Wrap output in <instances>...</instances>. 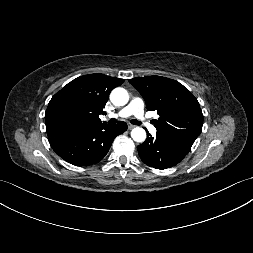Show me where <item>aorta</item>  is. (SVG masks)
I'll return each mask as SVG.
<instances>
[{
	"label": "aorta",
	"mask_w": 253,
	"mask_h": 253,
	"mask_svg": "<svg viewBox=\"0 0 253 253\" xmlns=\"http://www.w3.org/2000/svg\"><path fill=\"white\" fill-rule=\"evenodd\" d=\"M110 100L115 106H124L129 100L128 92L124 88H115L110 94ZM131 137L136 142H144L146 132L143 128L136 127L131 131Z\"/></svg>",
	"instance_id": "762f6f07"
}]
</instances>
